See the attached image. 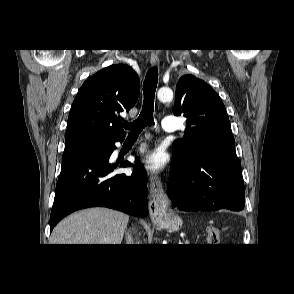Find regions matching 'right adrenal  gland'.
Segmentation results:
<instances>
[{
	"label": "right adrenal gland",
	"mask_w": 294,
	"mask_h": 294,
	"mask_svg": "<svg viewBox=\"0 0 294 294\" xmlns=\"http://www.w3.org/2000/svg\"><path fill=\"white\" fill-rule=\"evenodd\" d=\"M126 244H133L132 235L129 234V231L125 233Z\"/></svg>",
	"instance_id": "right-adrenal-gland-1"
}]
</instances>
